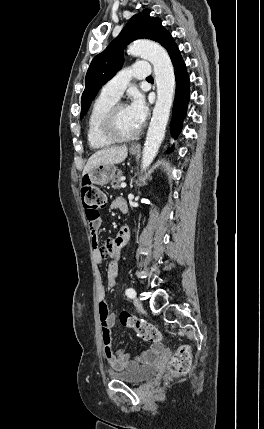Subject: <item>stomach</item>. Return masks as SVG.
I'll return each instance as SVG.
<instances>
[{
    "mask_svg": "<svg viewBox=\"0 0 264 429\" xmlns=\"http://www.w3.org/2000/svg\"><path fill=\"white\" fill-rule=\"evenodd\" d=\"M132 155H136L137 151L130 150ZM117 167L114 164L98 165L89 173L83 175V179L89 180L93 184L105 185L114 178Z\"/></svg>",
    "mask_w": 264,
    "mask_h": 429,
    "instance_id": "stomach-1",
    "label": "stomach"
}]
</instances>
